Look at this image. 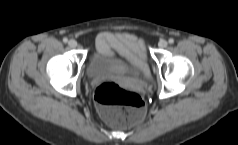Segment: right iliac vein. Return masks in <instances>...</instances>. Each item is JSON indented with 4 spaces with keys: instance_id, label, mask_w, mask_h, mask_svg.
I'll return each instance as SVG.
<instances>
[{
    "instance_id": "1",
    "label": "right iliac vein",
    "mask_w": 238,
    "mask_h": 145,
    "mask_svg": "<svg viewBox=\"0 0 238 145\" xmlns=\"http://www.w3.org/2000/svg\"><path fill=\"white\" fill-rule=\"evenodd\" d=\"M68 45L71 48H75L77 46V41L75 39H71V40H69Z\"/></svg>"
}]
</instances>
